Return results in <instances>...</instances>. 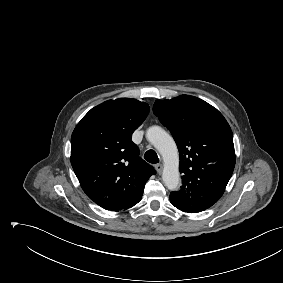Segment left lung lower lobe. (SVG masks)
Here are the masks:
<instances>
[{"mask_svg":"<svg viewBox=\"0 0 283 283\" xmlns=\"http://www.w3.org/2000/svg\"><path fill=\"white\" fill-rule=\"evenodd\" d=\"M170 202L173 206H175L177 209L183 211V212H188V213H196L190 206L182 203L181 201L175 199L172 196H169Z\"/></svg>","mask_w":283,"mask_h":283,"instance_id":"1","label":"left lung lower lobe"}]
</instances>
